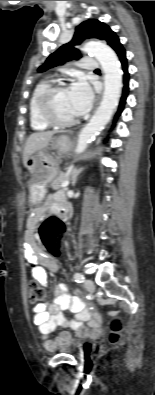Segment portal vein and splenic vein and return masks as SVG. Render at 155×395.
I'll return each mask as SVG.
<instances>
[{"label":"portal vein and splenic vein","mask_w":155,"mask_h":395,"mask_svg":"<svg viewBox=\"0 0 155 395\" xmlns=\"http://www.w3.org/2000/svg\"><path fill=\"white\" fill-rule=\"evenodd\" d=\"M68 185H69V180L66 179V180H64V181L61 183L60 187H66V186H68Z\"/></svg>","instance_id":"18ae733b"}]
</instances>
